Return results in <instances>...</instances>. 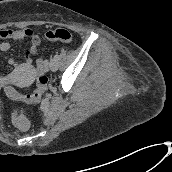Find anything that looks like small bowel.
<instances>
[{
	"label": "small bowel",
	"instance_id": "obj_1",
	"mask_svg": "<svg viewBox=\"0 0 172 172\" xmlns=\"http://www.w3.org/2000/svg\"><path fill=\"white\" fill-rule=\"evenodd\" d=\"M43 37L45 36L34 34L29 28H4L0 30V51H8L11 48L10 41H24L29 39V46L24 51V57L26 59L25 65L30 66L32 62L31 57L36 54L37 46L40 44ZM8 64L12 67H16L18 65V61L16 58L11 57L8 59ZM0 81H2V78H0Z\"/></svg>",
	"mask_w": 172,
	"mask_h": 172
}]
</instances>
